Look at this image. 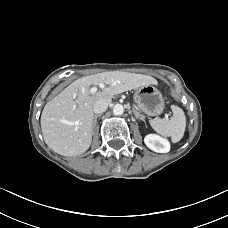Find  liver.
Returning a JSON list of instances; mask_svg holds the SVG:
<instances>
[{"mask_svg":"<svg viewBox=\"0 0 228 228\" xmlns=\"http://www.w3.org/2000/svg\"><path fill=\"white\" fill-rule=\"evenodd\" d=\"M105 84L94 94L91 85ZM157 85L151 76L121 71H107L79 78L49 101L41 114L45 143L63 156H77L87 151L92 141L94 105L122 92L144 85Z\"/></svg>","mask_w":228,"mask_h":228,"instance_id":"1","label":"liver"}]
</instances>
